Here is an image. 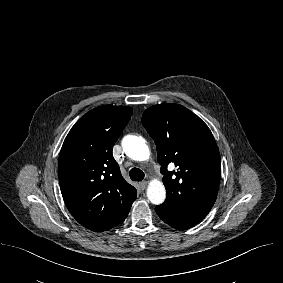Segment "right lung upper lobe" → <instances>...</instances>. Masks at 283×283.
Segmentation results:
<instances>
[{
  "label": "right lung upper lobe",
  "mask_w": 283,
  "mask_h": 283,
  "mask_svg": "<svg viewBox=\"0 0 283 283\" xmlns=\"http://www.w3.org/2000/svg\"><path fill=\"white\" fill-rule=\"evenodd\" d=\"M133 109L100 106L72 127L59 156V184L73 217L102 232L122 223L136 199V189L122 177L112 148Z\"/></svg>",
  "instance_id": "1"
}]
</instances>
